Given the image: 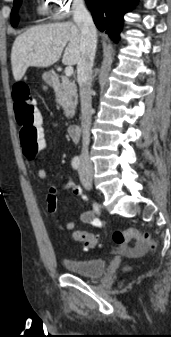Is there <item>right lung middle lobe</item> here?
I'll return each mask as SVG.
<instances>
[{
    "label": "right lung middle lobe",
    "instance_id": "1",
    "mask_svg": "<svg viewBox=\"0 0 171 337\" xmlns=\"http://www.w3.org/2000/svg\"><path fill=\"white\" fill-rule=\"evenodd\" d=\"M22 0H14L13 9L11 13V24L13 27H16L18 24L17 10L21 4Z\"/></svg>",
    "mask_w": 171,
    "mask_h": 337
}]
</instances>
